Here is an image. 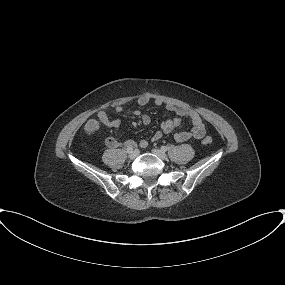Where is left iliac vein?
<instances>
[{
  "label": "left iliac vein",
  "instance_id": "obj_1",
  "mask_svg": "<svg viewBox=\"0 0 285 285\" xmlns=\"http://www.w3.org/2000/svg\"><path fill=\"white\" fill-rule=\"evenodd\" d=\"M152 152L162 160L167 159V155L160 149H153Z\"/></svg>",
  "mask_w": 285,
  "mask_h": 285
}]
</instances>
